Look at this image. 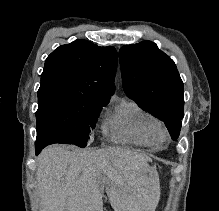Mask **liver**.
<instances>
[{"label": "liver", "instance_id": "obj_1", "mask_svg": "<svg viewBox=\"0 0 219 211\" xmlns=\"http://www.w3.org/2000/svg\"><path fill=\"white\" fill-rule=\"evenodd\" d=\"M149 155L123 149H74L61 143L38 155L40 211H103L106 191L114 211H152Z\"/></svg>", "mask_w": 219, "mask_h": 211}]
</instances>
